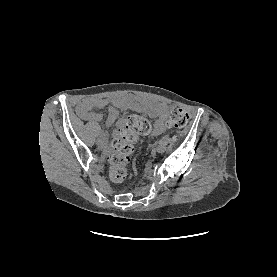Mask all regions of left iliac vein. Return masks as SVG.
<instances>
[{
  "label": "left iliac vein",
  "instance_id": "left-iliac-vein-1",
  "mask_svg": "<svg viewBox=\"0 0 277 277\" xmlns=\"http://www.w3.org/2000/svg\"><path fill=\"white\" fill-rule=\"evenodd\" d=\"M165 150H166V145L165 144H159L156 147V152H158V153H164Z\"/></svg>",
  "mask_w": 277,
  "mask_h": 277
}]
</instances>
